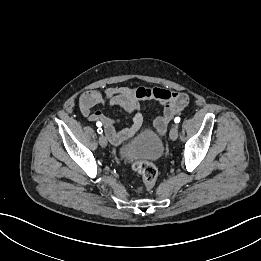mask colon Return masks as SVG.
<instances>
[{"instance_id":"5ec220e1","label":"colon","mask_w":261,"mask_h":261,"mask_svg":"<svg viewBox=\"0 0 261 261\" xmlns=\"http://www.w3.org/2000/svg\"><path fill=\"white\" fill-rule=\"evenodd\" d=\"M132 169L142 178L143 184L138 188V192L150 191L155 186L158 170L153 163L149 161L134 162Z\"/></svg>"}]
</instances>
